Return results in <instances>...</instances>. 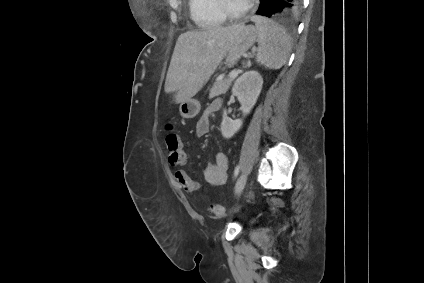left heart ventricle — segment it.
<instances>
[{
  "label": "left heart ventricle",
  "mask_w": 424,
  "mask_h": 283,
  "mask_svg": "<svg viewBox=\"0 0 424 283\" xmlns=\"http://www.w3.org/2000/svg\"><path fill=\"white\" fill-rule=\"evenodd\" d=\"M226 2L228 6L230 7V9H232L235 12H239L243 10L248 3L246 0H226Z\"/></svg>",
  "instance_id": "obj_1"
}]
</instances>
